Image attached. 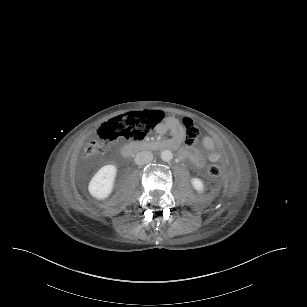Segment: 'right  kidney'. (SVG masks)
<instances>
[{
	"instance_id": "1",
	"label": "right kidney",
	"mask_w": 307,
	"mask_h": 307,
	"mask_svg": "<svg viewBox=\"0 0 307 307\" xmlns=\"http://www.w3.org/2000/svg\"><path fill=\"white\" fill-rule=\"evenodd\" d=\"M117 168L114 165H105L98 170L88 184L89 194L97 200L107 199L114 190Z\"/></svg>"
}]
</instances>
